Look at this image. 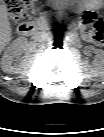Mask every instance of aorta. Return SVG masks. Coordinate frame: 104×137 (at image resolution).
Listing matches in <instances>:
<instances>
[{
    "instance_id": "762f6f07",
    "label": "aorta",
    "mask_w": 104,
    "mask_h": 137,
    "mask_svg": "<svg viewBox=\"0 0 104 137\" xmlns=\"http://www.w3.org/2000/svg\"><path fill=\"white\" fill-rule=\"evenodd\" d=\"M57 38L58 39H61V40H63V39H66L67 38V31L66 30H63V29H61V30H58L57 31Z\"/></svg>"
}]
</instances>
